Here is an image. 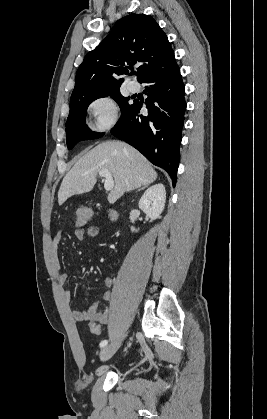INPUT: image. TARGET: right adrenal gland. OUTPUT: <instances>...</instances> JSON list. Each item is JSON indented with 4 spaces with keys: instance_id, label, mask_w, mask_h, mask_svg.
<instances>
[{
    "instance_id": "right-adrenal-gland-1",
    "label": "right adrenal gland",
    "mask_w": 267,
    "mask_h": 419,
    "mask_svg": "<svg viewBox=\"0 0 267 419\" xmlns=\"http://www.w3.org/2000/svg\"><path fill=\"white\" fill-rule=\"evenodd\" d=\"M145 188H146V186H143V187L139 188L137 191L143 190V189H145ZM137 191H136V192H137Z\"/></svg>"
}]
</instances>
